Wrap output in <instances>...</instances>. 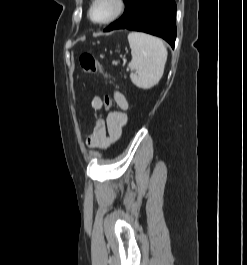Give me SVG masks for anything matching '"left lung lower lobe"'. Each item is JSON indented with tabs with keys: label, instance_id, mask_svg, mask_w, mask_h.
Returning a JSON list of instances; mask_svg holds the SVG:
<instances>
[{
	"label": "left lung lower lobe",
	"instance_id": "1",
	"mask_svg": "<svg viewBox=\"0 0 247 265\" xmlns=\"http://www.w3.org/2000/svg\"><path fill=\"white\" fill-rule=\"evenodd\" d=\"M123 16L104 31L129 29L159 36L174 47L176 4L174 0H124Z\"/></svg>",
	"mask_w": 247,
	"mask_h": 265
}]
</instances>
